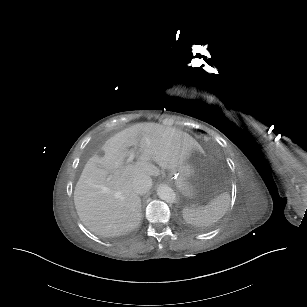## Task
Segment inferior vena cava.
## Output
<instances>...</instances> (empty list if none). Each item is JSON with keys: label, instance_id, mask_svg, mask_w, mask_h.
<instances>
[{"label": "inferior vena cava", "instance_id": "obj_1", "mask_svg": "<svg viewBox=\"0 0 307 307\" xmlns=\"http://www.w3.org/2000/svg\"><path fill=\"white\" fill-rule=\"evenodd\" d=\"M132 187L136 194L144 195L153 187V181L150 176L139 175L134 178Z\"/></svg>", "mask_w": 307, "mask_h": 307}]
</instances>
